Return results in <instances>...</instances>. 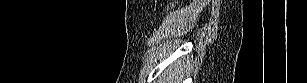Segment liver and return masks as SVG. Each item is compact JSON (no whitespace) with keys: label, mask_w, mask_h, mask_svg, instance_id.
I'll use <instances>...</instances> for the list:
<instances>
[{"label":"liver","mask_w":307,"mask_h":83,"mask_svg":"<svg viewBox=\"0 0 307 83\" xmlns=\"http://www.w3.org/2000/svg\"><path fill=\"white\" fill-rule=\"evenodd\" d=\"M184 68V63L182 61H176L171 65V67L167 70V74L165 75V80L166 82L163 83H176L179 80V75L181 74V71ZM180 83V82H177Z\"/></svg>","instance_id":"obj_1"}]
</instances>
